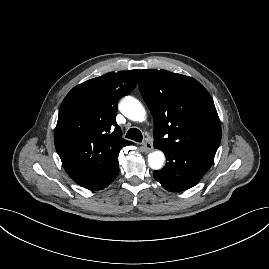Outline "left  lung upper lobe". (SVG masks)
Returning a JSON list of instances; mask_svg holds the SVG:
<instances>
[{
  "label": "left lung upper lobe",
  "instance_id": "5c2ea615",
  "mask_svg": "<svg viewBox=\"0 0 269 269\" xmlns=\"http://www.w3.org/2000/svg\"><path fill=\"white\" fill-rule=\"evenodd\" d=\"M139 90L154 118V146L217 151L220 120L197 80L165 70H141Z\"/></svg>",
  "mask_w": 269,
  "mask_h": 269
}]
</instances>
